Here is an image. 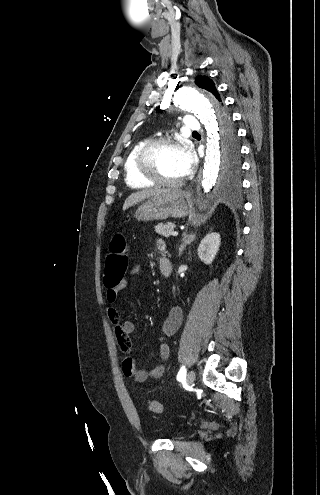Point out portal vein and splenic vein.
I'll return each instance as SVG.
<instances>
[{"instance_id":"18ae733b","label":"portal vein and splenic vein","mask_w":320,"mask_h":495,"mask_svg":"<svg viewBox=\"0 0 320 495\" xmlns=\"http://www.w3.org/2000/svg\"><path fill=\"white\" fill-rule=\"evenodd\" d=\"M173 236H177L178 235V232H173L172 234Z\"/></svg>"}]
</instances>
